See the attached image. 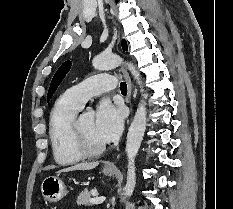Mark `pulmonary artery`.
<instances>
[{
	"label": "pulmonary artery",
	"instance_id": "pulmonary-artery-1",
	"mask_svg": "<svg viewBox=\"0 0 233 209\" xmlns=\"http://www.w3.org/2000/svg\"><path fill=\"white\" fill-rule=\"evenodd\" d=\"M116 87V78L106 74L91 76L81 83L71 87L66 95L68 99L78 107L92 96L111 91Z\"/></svg>",
	"mask_w": 233,
	"mask_h": 209
}]
</instances>
